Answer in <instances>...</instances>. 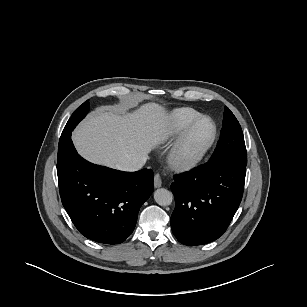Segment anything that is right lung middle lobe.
<instances>
[{
  "label": "right lung middle lobe",
  "instance_id": "dd1d6c3e",
  "mask_svg": "<svg viewBox=\"0 0 307 307\" xmlns=\"http://www.w3.org/2000/svg\"><path fill=\"white\" fill-rule=\"evenodd\" d=\"M89 110V102L85 101L81 106H79L70 119L68 120L62 135L59 140L58 153L66 148L69 143V138L71 137V131L75 128V126L86 116Z\"/></svg>",
  "mask_w": 307,
  "mask_h": 307
}]
</instances>
